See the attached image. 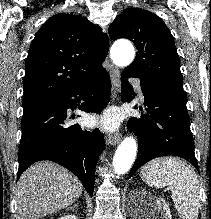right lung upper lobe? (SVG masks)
I'll use <instances>...</instances> for the list:
<instances>
[{
	"instance_id": "1",
	"label": "right lung upper lobe",
	"mask_w": 211,
	"mask_h": 219,
	"mask_svg": "<svg viewBox=\"0 0 211 219\" xmlns=\"http://www.w3.org/2000/svg\"><path fill=\"white\" fill-rule=\"evenodd\" d=\"M108 36L85 17L59 13L31 43L25 64L23 106L48 102L104 70Z\"/></svg>"
}]
</instances>
